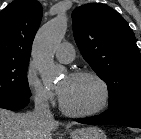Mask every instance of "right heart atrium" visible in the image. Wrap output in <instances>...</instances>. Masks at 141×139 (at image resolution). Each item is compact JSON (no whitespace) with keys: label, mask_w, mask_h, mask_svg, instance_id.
I'll return each instance as SVG.
<instances>
[{"label":"right heart atrium","mask_w":141,"mask_h":139,"mask_svg":"<svg viewBox=\"0 0 141 139\" xmlns=\"http://www.w3.org/2000/svg\"><path fill=\"white\" fill-rule=\"evenodd\" d=\"M24 79L30 96L37 105L50 106L55 102L54 92L41 82L32 65L27 66Z\"/></svg>","instance_id":"1"}]
</instances>
